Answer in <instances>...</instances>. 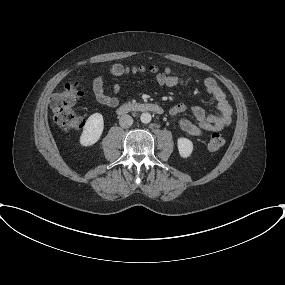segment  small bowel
Instances as JSON below:
<instances>
[{
	"instance_id": "small-bowel-1",
	"label": "small bowel",
	"mask_w": 285,
	"mask_h": 285,
	"mask_svg": "<svg viewBox=\"0 0 285 285\" xmlns=\"http://www.w3.org/2000/svg\"><path fill=\"white\" fill-rule=\"evenodd\" d=\"M156 82L161 87L174 88L178 85L188 84L189 80L181 79L175 75L158 74ZM203 84L206 92L215 100L218 112L207 115L202 108L192 107L190 111L197 123H193L186 118H179V128L190 137H202L208 132H219L230 125L233 118V109L216 80L208 77ZM92 89L100 104L111 108L119 104L117 97L120 92L119 84H115L112 88V94H108L104 89L102 77L98 76L93 81ZM186 110L187 107L184 104H177L170 109V114L178 117Z\"/></svg>"
}]
</instances>
